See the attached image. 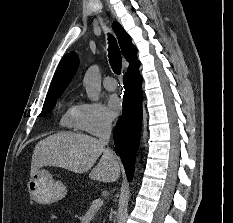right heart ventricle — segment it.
Returning a JSON list of instances; mask_svg holds the SVG:
<instances>
[{
  "label": "right heart ventricle",
  "instance_id": "obj_1",
  "mask_svg": "<svg viewBox=\"0 0 233 223\" xmlns=\"http://www.w3.org/2000/svg\"><path fill=\"white\" fill-rule=\"evenodd\" d=\"M58 125L63 129H79V105L70 104L60 114Z\"/></svg>",
  "mask_w": 233,
  "mask_h": 223
}]
</instances>
